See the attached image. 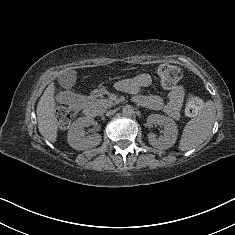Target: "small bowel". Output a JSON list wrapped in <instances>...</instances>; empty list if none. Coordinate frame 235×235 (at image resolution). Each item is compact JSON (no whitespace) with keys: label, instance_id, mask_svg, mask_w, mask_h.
<instances>
[{"label":"small bowel","instance_id":"c3829d8e","mask_svg":"<svg viewBox=\"0 0 235 235\" xmlns=\"http://www.w3.org/2000/svg\"><path fill=\"white\" fill-rule=\"evenodd\" d=\"M150 84V78L146 74L139 75L135 78L132 86L136 88H143ZM130 84L121 85V87H128ZM185 95V89L181 85L172 87L168 94V98L163 100L159 96L155 95H142L135 96V101L146 108L163 110L171 118H178L180 109L182 106L183 98Z\"/></svg>","mask_w":235,"mask_h":235}]
</instances>
